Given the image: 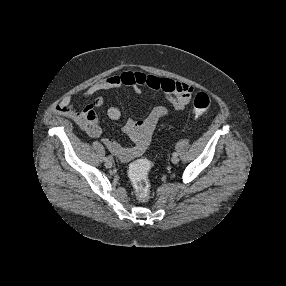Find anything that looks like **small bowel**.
<instances>
[{
	"mask_svg": "<svg viewBox=\"0 0 286 286\" xmlns=\"http://www.w3.org/2000/svg\"><path fill=\"white\" fill-rule=\"evenodd\" d=\"M122 87H131L137 94H140L144 87L163 92L169 97L176 112L184 111L190 103L193 93V87L184 82L168 77L148 75L141 71H123L94 83L87 89L83 97L90 98L100 91ZM103 103L104 99L99 97L94 104L100 106ZM57 112L73 120L90 137L102 139L106 148L123 162H128L147 150L158 122L169 115L167 108L157 106L142 120L129 119L125 123L123 131L130 137L133 145L124 147L112 139L102 138L103 131L93 105H88L82 111H78L71 97H66L58 106ZM107 115L111 120H118L121 117V110L118 106L112 105L107 109Z\"/></svg>",
	"mask_w": 286,
	"mask_h": 286,
	"instance_id": "small-bowel-1",
	"label": "small bowel"
}]
</instances>
